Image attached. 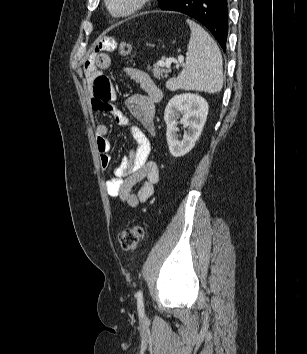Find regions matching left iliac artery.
<instances>
[{"mask_svg":"<svg viewBox=\"0 0 307 354\" xmlns=\"http://www.w3.org/2000/svg\"><path fill=\"white\" fill-rule=\"evenodd\" d=\"M137 297V304H138V309L140 312L144 311V302H143V293L141 290H139L136 294Z\"/></svg>","mask_w":307,"mask_h":354,"instance_id":"44dca946","label":"left iliac artery"}]
</instances>
